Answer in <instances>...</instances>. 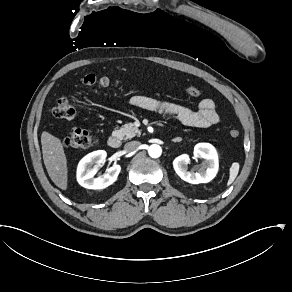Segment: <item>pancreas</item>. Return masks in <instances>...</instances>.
Listing matches in <instances>:
<instances>
[{
  "instance_id": "obj_1",
  "label": "pancreas",
  "mask_w": 292,
  "mask_h": 292,
  "mask_svg": "<svg viewBox=\"0 0 292 292\" xmlns=\"http://www.w3.org/2000/svg\"><path fill=\"white\" fill-rule=\"evenodd\" d=\"M135 135L140 136V130L134 125V123L128 122L117 132L116 137L128 140L133 138Z\"/></svg>"
}]
</instances>
